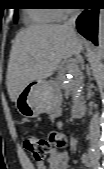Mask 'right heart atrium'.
Masks as SVG:
<instances>
[{"instance_id":"d8ad5b80","label":"right heart atrium","mask_w":104,"mask_h":169,"mask_svg":"<svg viewBox=\"0 0 104 169\" xmlns=\"http://www.w3.org/2000/svg\"><path fill=\"white\" fill-rule=\"evenodd\" d=\"M57 20H66L72 13V9H55Z\"/></svg>"}]
</instances>
